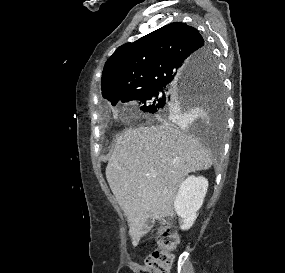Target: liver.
<instances>
[{
    "label": "liver",
    "instance_id": "1",
    "mask_svg": "<svg viewBox=\"0 0 285 273\" xmlns=\"http://www.w3.org/2000/svg\"><path fill=\"white\" fill-rule=\"evenodd\" d=\"M212 164L199 140L167 122L125 130L116 138L106 178L128 219L134 246L145 233L148 218L174 214L173 202L184 178Z\"/></svg>",
    "mask_w": 285,
    "mask_h": 273
}]
</instances>
